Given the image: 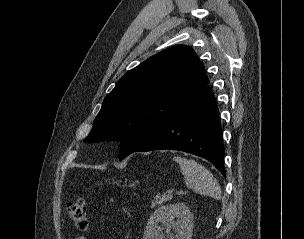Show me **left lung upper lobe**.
<instances>
[{
	"instance_id": "obj_1",
	"label": "left lung upper lobe",
	"mask_w": 304,
	"mask_h": 239,
	"mask_svg": "<svg viewBox=\"0 0 304 239\" xmlns=\"http://www.w3.org/2000/svg\"><path fill=\"white\" fill-rule=\"evenodd\" d=\"M209 80L193 49L176 45L128 71L105 97L84 142L120 140V160L196 98Z\"/></svg>"
}]
</instances>
